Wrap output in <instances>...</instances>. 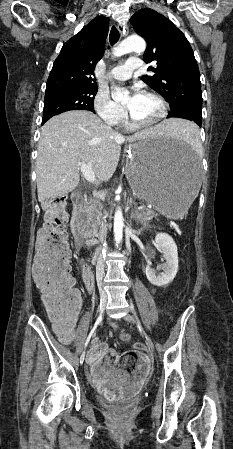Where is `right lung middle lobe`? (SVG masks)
I'll return each instance as SVG.
<instances>
[{
	"mask_svg": "<svg viewBox=\"0 0 233 449\" xmlns=\"http://www.w3.org/2000/svg\"><path fill=\"white\" fill-rule=\"evenodd\" d=\"M97 86L85 88L59 89L45 94L42 122L52 116L69 110H89L94 112V98Z\"/></svg>",
	"mask_w": 233,
	"mask_h": 449,
	"instance_id": "obj_1",
	"label": "right lung middle lobe"
}]
</instances>
